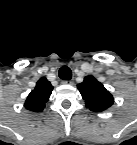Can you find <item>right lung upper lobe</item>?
I'll list each match as a JSON object with an SVG mask.
<instances>
[{"instance_id": "cb5924a9", "label": "right lung upper lobe", "mask_w": 137, "mask_h": 145, "mask_svg": "<svg viewBox=\"0 0 137 145\" xmlns=\"http://www.w3.org/2000/svg\"><path fill=\"white\" fill-rule=\"evenodd\" d=\"M52 90L51 83L45 77L40 78L36 83L35 89L28 95L24 104L25 108L33 112L43 111Z\"/></svg>"}]
</instances>
